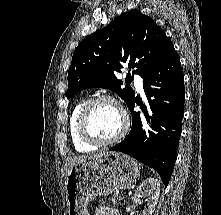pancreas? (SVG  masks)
I'll list each match as a JSON object with an SVG mask.
<instances>
[{"label":"pancreas","mask_w":221,"mask_h":215,"mask_svg":"<svg viewBox=\"0 0 221 215\" xmlns=\"http://www.w3.org/2000/svg\"><path fill=\"white\" fill-rule=\"evenodd\" d=\"M119 201H121V199L119 198L118 195H113L112 197L105 196L104 198H101L99 200L100 204H102V205L113 204L114 206L119 205Z\"/></svg>","instance_id":"obj_1"}]
</instances>
